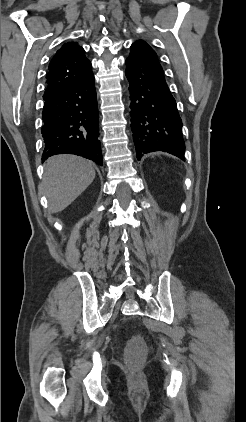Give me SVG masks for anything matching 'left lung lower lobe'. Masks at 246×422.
I'll return each instance as SVG.
<instances>
[{
    "label": "left lung lower lobe",
    "mask_w": 246,
    "mask_h": 422,
    "mask_svg": "<svg viewBox=\"0 0 246 422\" xmlns=\"http://www.w3.org/2000/svg\"><path fill=\"white\" fill-rule=\"evenodd\" d=\"M126 77L131 99V129L137 159L149 152L163 151L184 160L182 121L163 70L131 45L126 59Z\"/></svg>",
    "instance_id": "left-lung-lower-lobe-1"
}]
</instances>
